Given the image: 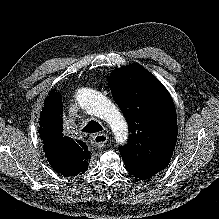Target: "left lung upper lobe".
<instances>
[{
    "label": "left lung upper lobe",
    "instance_id": "1",
    "mask_svg": "<svg viewBox=\"0 0 219 219\" xmlns=\"http://www.w3.org/2000/svg\"><path fill=\"white\" fill-rule=\"evenodd\" d=\"M109 87L131 132L119 148L127 165L166 167L177 140V116L166 88L144 67L131 64L111 72Z\"/></svg>",
    "mask_w": 219,
    "mask_h": 219
}]
</instances>
